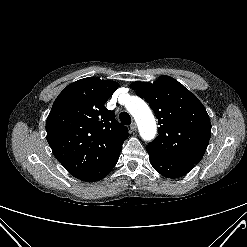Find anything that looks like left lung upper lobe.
I'll use <instances>...</instances> for the list:
<instances>
[{
    "label": "left lung upper lobe",
    "instance_id": "5c2ea615",
    "mask_svg": "<svg viewBox=\"0 0 247 247\" xmlns=\"http://www.w3.org/2000/svg\"><path fill=\"white\" fill-rule=\"evenodd\" d=\"M131 87L149 103L160 125L158 137L146 148L198 164L211 136L209 116L198 98L169 76H160L154 83L134 82Z\"/></svg>",
    "mask_w": 247,
    "mask_h": 247
}]
</instances>
